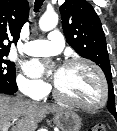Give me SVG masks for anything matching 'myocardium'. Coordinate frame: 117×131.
Listing matches in <instances>:
<instances>
[{
	"instance_id": "f54148a6",
	"label": "myocardium",
	"mask_w": 117,
	"mask_h": 131,
	"mask_svg": "<svg viewBox=\"0 0 117 131\" xmlns=\"http://www.w3.org/2000/svg\"><path fill=\"white\" fill-rule=\"evenodd\" d=\"M76 65H86V66L90 67L96 73V75L100 81L101 90H102L100 101L95 105L82 104L78 101L72 100V99L68 98L67 96H65L59 90L57 85L54 84L53 94H54L55 98L64 104L70 105L72 107H75V108H78V109H81L84 111L91 112V111H97V110L103 108L108 100V84H107L106 78H105L101 68L97 64H95L94 62L87 60V59H82V58L68 59L63 63L62 67L68 68V67H72V66H76Z\"/></svg>"
}]
</instances>
